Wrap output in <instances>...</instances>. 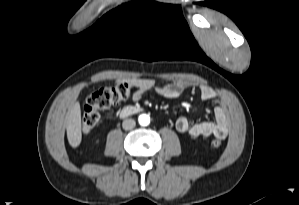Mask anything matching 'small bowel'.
I'll return each mask as SVG.
<instances>
[{"mask_svg":"<svg viewBox=\"0 0 299 205\" xmlns=\"http://www.w3.org/2000/svg\"><path fill=\"white\" fill-rule=\"evenodd\" d=\"M136 90L132 94V99L140 101L148 92H154L167 99L179 97L186 89L198 87L200 96L203 100L214 101V121L192 122L188 117H180L176 120L175 127L178 132L186 133L192 137L225 138L229 128V114L225 104L217 101L215 91L206 86H197L194 82L187 79L165 81L157 83L152 78L131 79Z\"/></svg>","mask_w":299,"mask_h":205,"instance_id":"1","label":"small bowel"}]
</instances>
